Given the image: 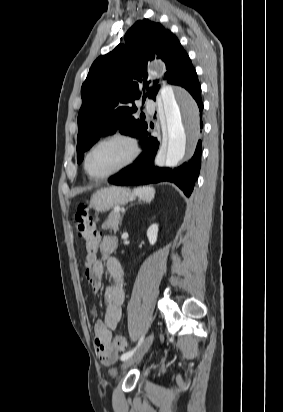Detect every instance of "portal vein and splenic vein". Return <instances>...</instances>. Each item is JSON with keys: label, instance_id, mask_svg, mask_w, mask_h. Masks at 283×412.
I'll return each instance as SVG.
<instances>
[{"label": "portal vein and splenic vein", "instance_id": "portal-vein-and-splenic-vein-1", "mask_svg": "<svg viewBox=\"0 0 283 412\" xmlns=\"http://www.w3.org/2000/svg\"><path fill=\"white\" fill-rule=\"evenodd\" d=\"M114 211H115V212H119V211H120V208H119V207H116V208L114 209Z\"/></svg>", "mask_w": 283, "mask_h": 412}]
</instances>
